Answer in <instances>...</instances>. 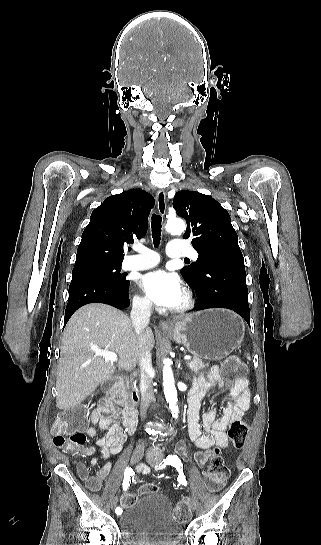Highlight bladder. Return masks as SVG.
<instances>
[{"instance_id":"bladder-1","label":"bladder","mask_w":321,"mask_h":545,"mask_svg":"<svg viewBox=\"0 0 321 545\" xmlns=\"http://www.w3.org/2000/svg\"><path fill=\"white\" fill-rule=\"evenodd\" d=\"M118 526L128 545H179L184 533L168 497L160 492L147 493L123 509Z\"/></svg>"}]
</instances>
